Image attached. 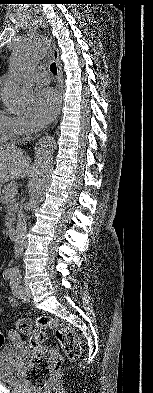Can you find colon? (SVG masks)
<instances>
[{
	"mask_svg": "<svg viewBox=\"0 0 153 393\" xmlns=\"http://www.w3.org/2000/svg\"><path fill=\"white\" fill-rule=\"evenodd\" d=\"M17 328L30 337L33 346L24 377L34 393H43L46 384L61 365L60 354L53 348L41 345L45 339L42 328H49L55 332L69 359L77 360L82 355L83 342L70 326L59 319L42 315L38 318L36 327H33L29 319L21 318L17 321ZM3 344L4 339L0 334V348Z\"/></svg>",
	"mask_w": 153,
	"mask_h": 393,
	"instance_id": "1",
	"label": "colon"
}]
</instances>
